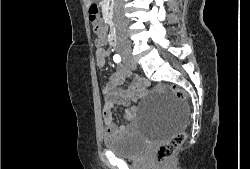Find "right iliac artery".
Listing matches in <instances>:
<instances>
[{"mask_svg": "<svg viewBox=\"0 0 250 169\" xmlns=\"http://www.w3.org/2000/svg\"><path fill=\"white\" fill-rule=\"evenodd\" d=\"M113 60L114 62L119 63L121 61V57L118 54H116L113 56Z\"/></svg>", "mask_w": 250, "mask_h": 169, "instance_id": "right-iliac-artery-1", "label": "right iliac artery"}]
</instances>
